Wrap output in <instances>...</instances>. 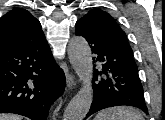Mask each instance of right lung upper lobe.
Here are the masks:
<instances>
[{"mask_svg": "<svg viewBox=\"0 0 165 120\" xmlns=\"http://www.w3.org/2000/svg\"><path fill=\"white\" fill-rule=\"evenodd\" d=\"M43 36L40 22L25 9H13L0 20V52Z\"/></svg>", "mask_w": 165, "mask_h": 120, "instance_id": "right-lung-upper-lobe-1", "label": "right lung upper lobe"}]
</instances>
